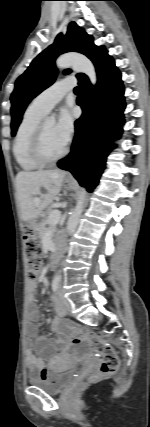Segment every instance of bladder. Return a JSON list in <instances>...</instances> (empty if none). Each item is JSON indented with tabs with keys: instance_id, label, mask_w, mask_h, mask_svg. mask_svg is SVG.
I'll return each mask as SVG.
<instances>
[{
	"instance_id": "obj_1",
	"label": "bladder",
	"mask_w": 150,
	"mask_h": 427,
	"mask_svg": "<svg viewBox=\"0 0 150 427\" xmlns=\"http://www.w3.org/2000/svg\"><path fill=\"white\" fill-rule=\"evenodd\" d=\"M75 375L74 369L63 371H53L47 378L32 376L29 378V384L41 388L48 393L57 394L65 390Z\"/></svg>"
}]
</instances>
